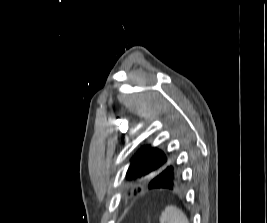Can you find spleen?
Here are the masks:
<instances>
[{"label": "spleen", "mask_w": 267, "mask_h": 223, "mask_svg": "<svg viewBox=\"0 0 267 223\" xmlns=\"http://www.w3.org/2000/svg\"><path fill=\"white\" fill-rule=\"evenodd\" d=\"M160 223H189L182 210L176 206H167L160 216Z\"/></svg>", "instance_id": "obj_1"}]
</instances>
